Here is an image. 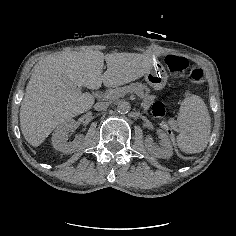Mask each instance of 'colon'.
<instances>
[{
	"instance_id": "5ec220e1",
	"label": "colon",
	"mask_w": 236,
	"mask_h": 236,
	"mask_svg": "<svg viewBox=\"0 0 236 236\" xmlns=\"http://www.w3.org/2000/svg\"><path fill=\"white\" fill-rule=\"evenodd\" d=\"M165 63L173 74H183L189 67V61L183 56L168 54ZM191 82L200 84L204 82V72L198 65H194L189 72ZM152 115L156 118H163L166 115V106L163 102L155 101L152 106Z\"/></svg>"
}]
</instances>
